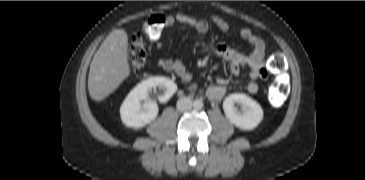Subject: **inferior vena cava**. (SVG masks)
Returning a JSON list of instances; mask_svg holds the SVG:
<instances>
[{"instance_id": "inferior-vena-cava-1", "label": "inferior vena cava", "mask_w": 365, "mask_h": 180, "mask_svg": "<svg viewBox=\"0 0 365 180\" xmlns=\"http://www.w3.org/2000/svg\"><path fill=\"white\" fill-rule=\"evenodd\" d=\"M176 106L179 111L189 110L192 107V100L188 97H182L177 101Z\"/></svg>"}]
</instances>
